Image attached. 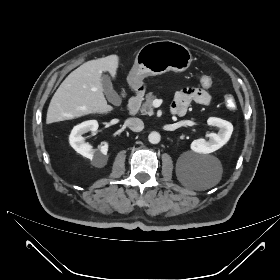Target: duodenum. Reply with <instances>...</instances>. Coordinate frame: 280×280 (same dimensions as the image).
<instances>
[{"label":"duodenum","instance_id":"1","mask_svg":"<svg viewBox=\"0 0 280 280\" xmlns=\"http://www.w3.org/2000/svg\"><path fill=\"white\" fill-rule=\"evenodd\" d=\"M144 97V90L141 86H139L134 95L131 97V99L129 100V104H128V112L131 115H135L141 106L142 100ZM172 114H178L177 110L172 108L171 111Z\"/></svg>","mask_w":280,"mask_h":280}]
</instances>
